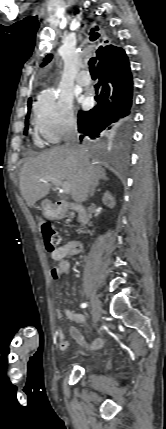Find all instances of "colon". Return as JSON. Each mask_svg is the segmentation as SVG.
I'll return each instance as SVG.
<instances>
[{"label":"colon","mask_w":166,"mask_h":429,"mask_svg":"<svg viewBox=\"0 0 166 429\" xmlns=\"http://www.w3.org/2000/svg\"><path fill=\"white\" fill-rule=\"evenodd\" d=\"M41 233L44 239V245L48 252L55 251L62 242V236L58 233L49 221H42Z\"/></svg>","instance_id":"obj_1"}]
</instances>
